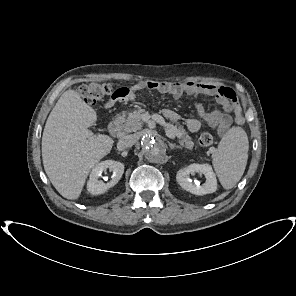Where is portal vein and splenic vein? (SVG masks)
I'll use <instances>...</instances> for the list:
<instances>
[{
    "label": "portal vein and splenic vein",
    "instance_id": "portal-vein-and-splenic-vein-1",
    "mask_svg": "<svg viewBox=\"0 0 296 296\" xmlns=\"http://www.w3.org/2000/svg\"><path fill=\"white\" fill-rule=\"evenodd\" d=\"M152 119H154L155 121H157L158 123H160L161 125H163L164 127H166V135L171 138L174 139L175 138V134L174 132L168 128L167 123L164 121V119L160 116V115H153Z\"/></svg>",
    "mask_w": 296,
    "mask_h": 296
}]
</instances>
